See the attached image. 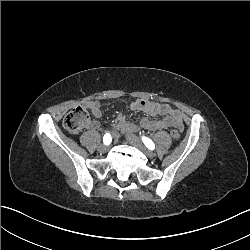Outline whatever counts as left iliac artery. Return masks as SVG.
<instances>
[{"instance_id": "obj_1", "label": "left iliac artery", "mask_w": 250, "mask_h": 250, "mask_svg": "<svg viewBox=\"0 0 250 250\" xmlns=\"http://www.w3.org/2000/svg\"><path fill=\"white\" fill-rule=\"evenodd\" d=\"M142 141L148 149H150V150L155 149V144L153 143V141L151 139L143 136Z\"/></svg>"}]
</instances>
